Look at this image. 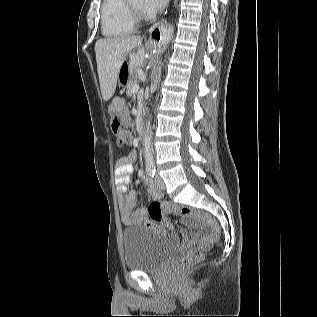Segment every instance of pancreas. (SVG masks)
I'll use <instances>...</instances> for the list:
<instances>
[{"instance_id":"obj_1","label":"pancreas","mask_w":317,"mask_h":317,"mask_svg":"<svg viewBox=\"0 0 317 317\" xmlns=\"http://www.w3.org/2000/svg\"><path fill=\"white\" fill-rule=\"evenodd\" d=\"M137 87V80L136 76L133 74L132 77H130L126 91L127 95L131 96L133 92L135 91V88Z\"/></svg>"}]
</instances>
